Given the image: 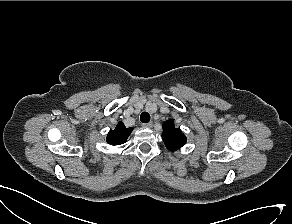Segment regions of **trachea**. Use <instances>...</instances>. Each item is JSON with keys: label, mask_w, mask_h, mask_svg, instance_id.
<instances>
[{"label": "trachea", "mask_w": 292, "mask_h": 224, "mask_svg": "<svg viewBox=\"0 0 292 224\" xmlns=\"http://www.w3.org/2000/svg\"><path fill=\"white\" fill-rule=\"evenodd\" d=\"M140 120L143 123H148L150 121V115L147 112H142L140 115Z\"/></svg>", "instance_id": "trachea-1"}]
</instances>
